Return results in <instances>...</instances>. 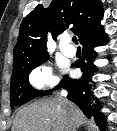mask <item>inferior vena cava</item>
Returning a JSON list of instances; mask_svg holds the SVG:
<instances>
[{"mask_svg": "<svg viewBox=\"0 0 117 131\" xmlns=\"http://www.w3.org/2000/svg\"><path fill=\"white\" fill-rule=\"evenodd\" d=\"M61 97H66L67 96V92L65 90H62L61 93H60ZM65 101H67L66 99H63ZM68 131H75V129H73L72 127H70L68 129Z\"/></svg>", "mask_w": 117, "mask_h": 131, "instance_id": "1", "label": "inferior vena cava"}]
</instances>
